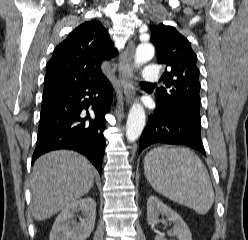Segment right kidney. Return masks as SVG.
Returning a JSON list of instances; mask_svg holds the SVG:
<instances>
[{"label":"right kidney","mask_w":248,"mask_h":240,"mask_svg":"<svg viewBox=\"0 0 248 240\" xmlns=\"http://www.w3.org/2000/svg\"><path fill=\"white\" fill-rule=\"evenodd\" d=\"M81 212L79 222L74 217ZM96 202L91 197L76 200L65 207L56 218L50 240H86L94 229Z\"/></svg>","instance_id":"right-kidney-1"}]
</instances>
